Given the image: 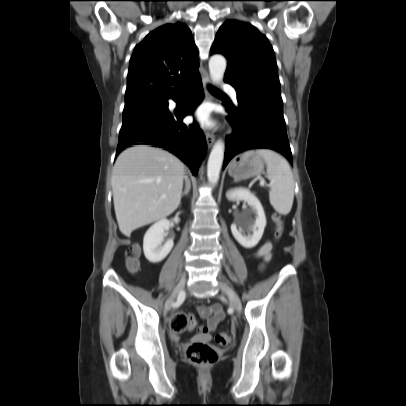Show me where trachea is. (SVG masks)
Segmentation results:
<instances>
[{
	"label": "trachea",
	"instance_id": "3493384b",
	"mask_svg": "<svg viewBox=\"0 0 406 406\" xmlns=\"http://www.w3.org/2000/svg\"><path fill=\"white\" fill-rule=\"evenodd\" d=\"M209 90H210V92H212V93H222V91H220L219 89H217V88H215V87H213V86H210L209 87Z\"/></svg>",
	"mask_w": 406,
	"mask_h": 406
}]
</instances>
